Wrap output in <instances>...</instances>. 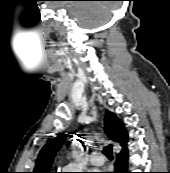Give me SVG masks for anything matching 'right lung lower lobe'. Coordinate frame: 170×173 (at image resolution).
Masks as SVG:
<instances>
[{
    "mask_svg": "<svg viewBox=\"0 0 170 173\" xmlns=\"http://www.w3.org/2000/svg\"><path fill=\"white\" fill-rule=\"evenodd\" d=\"M128 150L122 148V151L116 156L115 172L114 173H129L127 172Z\"/></svg>",
    "mask_w": 170,
    "mask_h": 173,
    "instance_id": "right-lung-lower-lobe-1",
    "label": "right lung lower lobe"
}]
</instances>
